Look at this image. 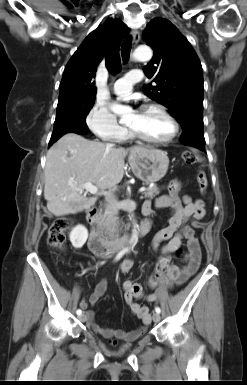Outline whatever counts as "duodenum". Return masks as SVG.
Here are the masks:
<instances>
[{
    "mask_svg": "<svg viewBox=\"0 0 247 385\" xmlns=\"http://www.w3.org/2000/svg\"><path fill=\"white\" fill-rule=\"evenodd\" d=\"M98 211L89 209L87 211V221L91 225V233L88 239V246L92 252L101 257H108L116 253L123 246L129 244L133 236L130 234L121 235L107 241L102 237L100 226L98 223ZM152 227V222L149 219L144 220L137 229L139 237L147 234Z\"/></svg>",
    "mask_w": 247,
    "mask_h": 385,
    "instance_id": "1",
    "label": "duodenum"
}]
</instances>
